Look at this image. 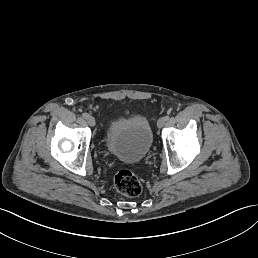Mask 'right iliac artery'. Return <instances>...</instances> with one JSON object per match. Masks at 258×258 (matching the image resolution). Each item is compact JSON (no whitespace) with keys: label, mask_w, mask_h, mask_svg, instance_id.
Segmentation results:
<instances>
[{"label":"right iliac artery","mask_w":258,"mask_h":258,"mask_svg":"<svg viewBox=\"0 0 258 258\" xmlns=\"http://www.w3.org/2000/svg\"><path fill=\"white\" fill-rule=\"evenodd\" d=\"M82 117H83V118H87V117H88V114H87V113H83V114H82Z\"/></svg>","instance_id":"right-iliac-artery-1"}]
</instances>
